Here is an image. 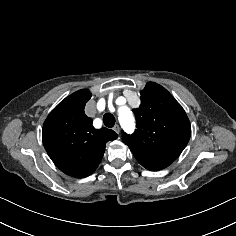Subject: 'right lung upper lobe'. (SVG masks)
Wrapping results in <instances>:
<instances>
[{
    "label": "right lung upper lobe",
    "instance_id": "1",
    "mask_svg": "<svg viewBox=\"0 0 236 236\" xmlns=\"http://www.w3.org/2000/svg\"><path fill=\"white\" fill-rule=\"evenodd\" d=\"M91 93L79 90L60 102L48 115L42 130L44 147L65 174L83 178L98 167L108 141L117 134L105 127L96 130L84 112Z\"/></svg>",
    "mask_w": 236,
    "mask_h": 236
}]
</instances>
